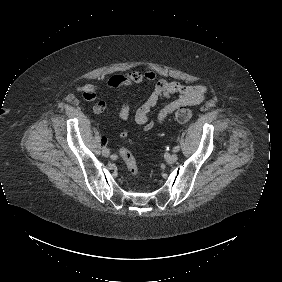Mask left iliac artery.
Returning <instances> with one entry per match:
<instances>
[{
    "instance_id": "1",
    "label": "left iliac artery",
    "mask_w": 282,
    "mask_h": 282,
    "mask_svg": "<svg viewBox=\"0 0 282 282\" xmlns=\"http://www.w3.org/2000/svg\"><path fill=\"white\" fill-rule=\"evenodd\" d=\"M180 150V146H175L174 148H173V151L174 152H178Z\"/></svg>"
}]
</instances>
